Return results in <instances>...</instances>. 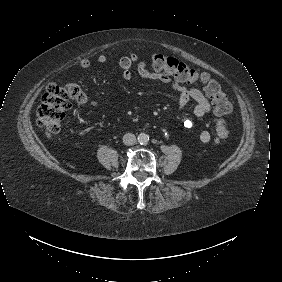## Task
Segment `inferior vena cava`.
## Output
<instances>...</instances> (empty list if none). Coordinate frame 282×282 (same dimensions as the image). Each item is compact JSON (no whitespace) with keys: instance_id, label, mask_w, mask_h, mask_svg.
<instances>
[{"instance_id":"602c4592","label":"inferior vena cava","mask_w":282,"mask_h":282,"mask_svg":"<svg viewBox=\"0 0 282 282\" xmlns=\"http://www.w3.org/2000/svg\"><path fill=\"white\" fill-rule=\"evenodd\" d=\"M137 140H136V136L133 133H126L123 136V143L127 146H131L136 144Z\"/></svg>"}]
</instances>
